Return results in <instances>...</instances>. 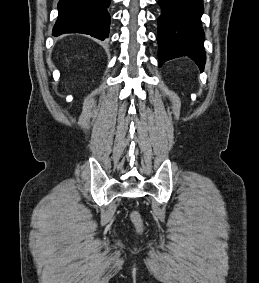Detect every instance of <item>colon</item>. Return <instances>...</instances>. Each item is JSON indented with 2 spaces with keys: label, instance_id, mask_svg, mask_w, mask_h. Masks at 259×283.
<instances>
[{
  "label": "colon",
  "instance_id": "colon-1",
  "mask_svg": "<svg viewBox=\"0 0 259 283\" xmlns=\"http://www.w3.org/2000/svg\"><path fill=\"white\" fill-rule=\"evenodd\" d=\"M131 221L138 227L140 228L142 226V221L140 214L137 211H133L130 214Z\"/></svg>",
  "mask_w": 259,
  "mask_h": 283
}]
</instances>
